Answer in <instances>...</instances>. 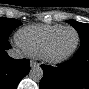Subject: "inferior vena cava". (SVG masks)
Masks as SVG:
<instances>
[{"mask_svg":"<svg viewBox=\"0 0 89 89\" xmlns=\"http://www.w3.org/2000/svg\"><path fill=\"white\" fill-rule=\"evenodd\" d=\"M7 53L11 58H14V59H22L24 57L21 51L15 48L9 49Z\"/></svg>","mask_w":89,"mask_h":89,"instance_id":"1","label":"inferior vena cava"}]
</instances>
